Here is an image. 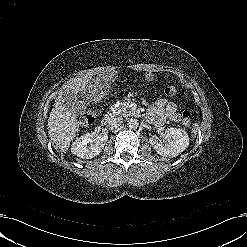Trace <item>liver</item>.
Listing matches in <instances>:
<instances>
[{
	"instance_id": "liver-1",
	"label": "liver",
	"mask_w": 247,
	"mask_h": 247,
	"mask_svg": "<svg viewBox=\"0 0 247 247\" xmlns=\"http://www.w3.org/2000/svg\"><path fill=\"white\" fill-rule=\"evenodd\" d=\"M90 78V75H86L80 78L70 79L63 85V89L77 92L89 82ZM62 94L63 92L61 91L55 100L47 126L49 137L55 143V147L60 149L61 152L66 153L69 149L70 142L79 130L80 122L77 120V115L63 105Z\"/></svg>"
}]
</instances>
